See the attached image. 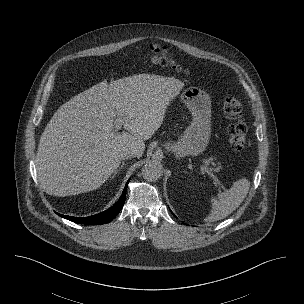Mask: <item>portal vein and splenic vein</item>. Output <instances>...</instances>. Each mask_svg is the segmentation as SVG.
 I'll use <instances>...</instances> for the list:
<instances>
[{"label": "portal vein and splenic vein", "instance_id": "portal-vein-and-splenic-vein-1", "mask_svg": "<svg viewBox=\"0 0 304 304\" xmlns=\"http://www.w3.org/2000/svg\"><path fill=\"white\" fill-rule=\"evenodd\" d=\"M121 126H122V120L118 119L115 123V130L119 131L121 129ZM201 170L207 172L214 179L216 183H219L218 178L213 173H211V170L208 169L206 166H202Z\"/></svg>", "mask_w": 304, "mask_h": 304}]
</instances>
